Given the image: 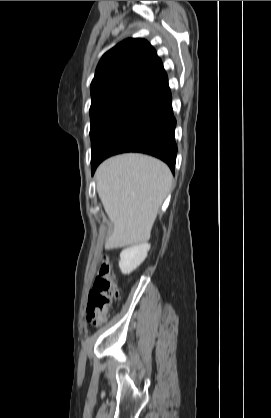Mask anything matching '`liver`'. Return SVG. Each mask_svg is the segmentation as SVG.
Returning a JSON list of instances; mask_svg holds the SVG:
<instances>
[{"label": "liver", "instance_id": "obj_1", "mask_svg": "<svg viewBox=\"0 0 271 418\" xmlns=\"http://www.w3.org/2000/svg\"><path fill=\"white\" fill-rule=\"evenodd\" d=\"M172 180L165 163L142 154L114 156L98 167L97 192L114 226L105 243L107 249L141 244L150 239Z\"/></svg>", "mask_w": 271, "mask_h": 418}]
</instances>
